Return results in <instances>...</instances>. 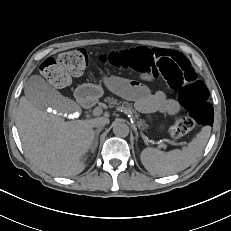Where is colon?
<instances>
[{"label": "colon", "mask_w": 231, "mask_h": 231, "mask_svg": "<svg viewBox=\"0 0 231 231\" xmlns=\"http://www.w3.org/2000/svg\"><path fill=\"white\" fill-rule=\"evenodd\" d=\"M99 60L116 67L130 68L154 79L165 80L178 92L180 104L187 111L169 129L173 139H179L196 126L210 125L213 121V106L209 91L190 61L181 53L168 49L138 47L113 51L99 56ZM88 65V55L83 49H75L48 58L40 65V73L56 87L66 86L73 76L80 75Z\"/></svg>", "instance_id": "5ec220e1"}]
</instances>
